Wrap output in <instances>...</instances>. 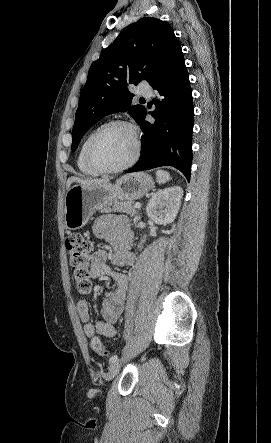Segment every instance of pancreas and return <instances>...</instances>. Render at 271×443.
I'll return each instance as SVG.
<instances>
[{"label":"pancreas","instance_id":"obj_1","mask_svg":"<svg viewBox=\"0 0 271 443\" xmlns=\"http://www.w3.org/2000/svg\"><path fill=\"white\" fill-rule=\"evenodd\" d=\"M102 214H109V212H125V214H128V216H136L137 214V208L134 206V202H115L114 206L112 208H104V210H101Z\"/></svg>","mask_w":271,"mask_h":443}]
</instances>
